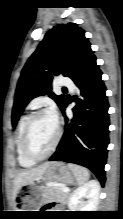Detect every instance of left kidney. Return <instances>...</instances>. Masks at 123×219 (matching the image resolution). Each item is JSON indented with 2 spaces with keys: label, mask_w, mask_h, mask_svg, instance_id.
<instances>
[{
  "label": "left kidney",
  "mask_w": 123,
  "mask_h": 219,
  "mask_svg": "<svg viewBox=\"0 0 123 219\" xmlns=\"http://www.w3.org/2000/svg\"><path fill=\"white\" fill-rule=\"evenodd\" d=\"M99 194V182L90 180L72 192L68 200V207L71 211H97ZM83 198L87 200L83 201Z\"/></svg>",
  "instance_id": "obj_1"
}]
</instances>
